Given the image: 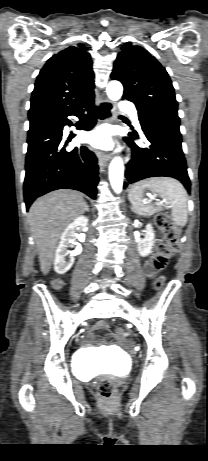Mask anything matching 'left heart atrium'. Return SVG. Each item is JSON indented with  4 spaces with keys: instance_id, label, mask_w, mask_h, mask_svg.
Segmentation results:
<instances>
[{
    "instance_id": "obj_1",
    "label": "left heart atrium",
    "mask_w": 208,
    "mask_h": 461,
    "mask_svg": "<svg viewBox=\"0 0 208 461\" xmlns=\"http://www.w3.org/2000/svg\"><path fill=\"white\" fill-rule=\"evenodd\" d=\"M88 141L95 147L108 148L112 141L110 133L106 128H100L89 136Z\"/></svg>"
}]
</instances>
